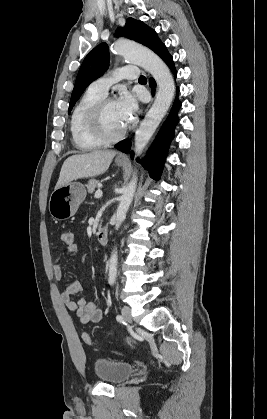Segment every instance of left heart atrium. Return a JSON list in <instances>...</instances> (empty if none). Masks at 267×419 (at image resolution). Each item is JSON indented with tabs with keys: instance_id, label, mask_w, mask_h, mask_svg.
<instances>
[{
	"instance_id": "obj_1",
	"label": "left heart atrium",
	"mask_w": 267,
	"mask_h": 419,
	"mask_svg": "<svg viewBox=\"0 0 267 419\" xmlns=\"http://www.w3.org/2000/svg\"><path fill=\"white\" fill-rule=\"evenodd\" d=\"M122 118L126 123H129L137 111V101L131 93H124L117 101Z\"/></svg>"
}]
</instances>
